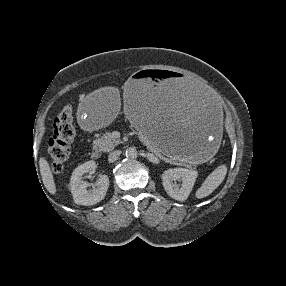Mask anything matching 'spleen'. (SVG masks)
I'll use <instances>...</instances> for the list:
<instances>
[{
	"label": "spleen",
	"mask_w": 286,
	"mask_h": 286,
	"mask_svg": "<svg viewBox=\"0 0 286 286\" xmlns=\"http://www.w3.org/2000/svg\"><path fill=\"white\" fill-rule=\"evenodd\" d=\"M227 174L226 165L218 166L202 183L201 187L197 189L195 196L202 199L210 195L225 179Z\"/></svg>",
	"instance_id": "1"
}]
</instances>
